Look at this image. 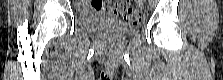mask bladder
Returning <instances> with one entry per match:
<instances>
[{
    "label": "bladder",
    "mask_w": 223,
    "mask_h": 80,
    "mask_svg": "<svg viewBox=\"0 0 223 80\" xmlns=\"http://www.w3.org/2000/svg\"><path fill=\"white\" fill-rule=\"evenodd\" d=\"M78 25L92 33L111 34L116 37H129L135 35L139 27L123 22L114 16L108 15H85L77 18Z\"/></svg>",
    "instance_id": "31cf9c89"
}]
</instances>
